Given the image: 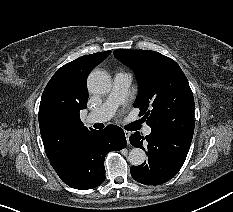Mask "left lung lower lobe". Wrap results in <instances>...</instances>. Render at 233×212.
Instances as JSON below:
<instances>
[{"label": "left lung lower lobe", "mask_w": 233, "mask_h": 212, "mask_svg": "<svg viewBox=\"0 0 233 212\" xmlns=\"http://www.w3.org/2000/svg\"><path fill=\"white\" fill-rule=\"evenodd\" d=\"M192 137L177 133L151 131L146 137L135 132L130 143L147 150L148 160L140 166H132V177L146 185H159L174 177L181 169Z\"/></svg>", "instance_id": "1"}]
</instances>
